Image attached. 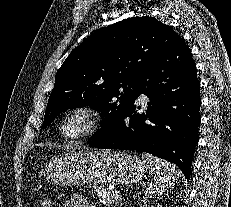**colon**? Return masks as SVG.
Returning <instances> with one entry per match:
<instances>
[{
    "instance_id": "obj_1",
    "label": "colon",
    "mask_w": 231,
    "mask_h": 207,
    "mask_svg": "<svg viewBox=\"0 0 231 207\" xmlns=\"http://www.w3.org/2000/svg\"><path fill=\"white\" fill-rule=\"evenodd\" d=\"M38 207H52V203L49 199L44 198L39 202Z\"/></svg>"
}]
</instances>
